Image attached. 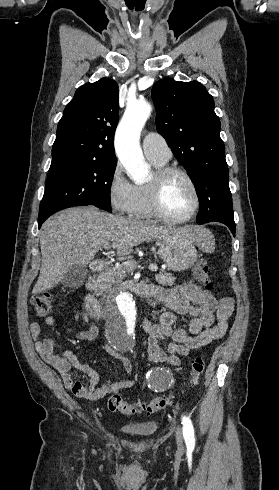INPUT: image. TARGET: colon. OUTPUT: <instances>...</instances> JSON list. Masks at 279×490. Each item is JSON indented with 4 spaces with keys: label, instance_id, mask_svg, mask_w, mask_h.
Listing matches in <instances>:
<instances>
[{
    "label": "colon",
    "instance_id": "colon-1",
    "mask_svg": "<svg viewBox=\"0 0 279 490\" xmlns=\"http://www.w3.org/2000/svg\"><path fill=\"white\" fill-rule=\"evenodd\" d=\"M193 274L198 283L206 290L213 288V279L206 260H199L193 267ZM32 306L34 314L37 316H47L54 309L52 295L48 292L39 293L33 296ZM205 362L201 357H197L191 362L189 383L191 386L198 384L204 372ZM172 402V397L162 395L151 400L131 403L122 399L119 394H110L107 399V407L112 412L124 415L153 414L168 407Z\"/></svg>",
    "mask_w": 279,
    "mask_h": 490
}]
</instances>
